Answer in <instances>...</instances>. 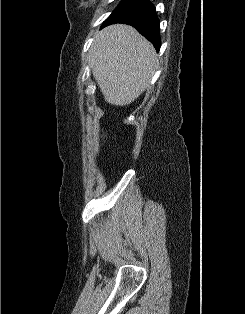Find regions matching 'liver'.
<instances>
[{
	"label": "liver",
	"instance_id": "liver-1",
	"mask_svg": "<svg viewBox=\"0 0 245 314\" xmlns=\"http://www.w3.org/2000/svg\"><path fill=\"white\" fill-rule=\"evenodd\" d=\"M153 45L129 25L101 30L89 50V65L106 102L128 105L149 86L157 66Z\"/></svg>",
	"mask_w": 245,
	"mask_h": 314
}]
</instances>
